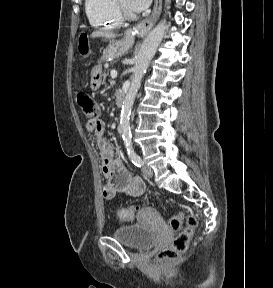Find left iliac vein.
<instances>
[{
	"label": "left iliac vein",
	"instance_id": "obj_1",
	"mask_svg": "<svg viewBox=\"0 0 273 288\" xmlns=\"http://www.w3.org/2000/svg\"><path fill=\"white\" fill-rule=\"evenodd\" d=\"M142 172L145 177L152 178L153 177V170L150 167L143 166Z\"/></svg>",
	"mask_w": 273,
	"mask_h": 288
}]
</instances>
